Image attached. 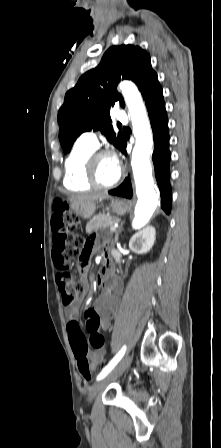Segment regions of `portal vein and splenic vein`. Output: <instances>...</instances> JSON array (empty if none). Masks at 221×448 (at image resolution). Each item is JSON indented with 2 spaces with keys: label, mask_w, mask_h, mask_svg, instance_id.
Segmentation results:
<instances>
[{
  "label": "portal vein and splenic vein",
  "mask_w": 221,
  "mask_h": 448,
  "mask_svg": "<svg viewBox=\"0 0 221 448\" xmlns=\"http://www.w3.org/2000/svg\"><path fill=\"white\" fill-rule=\"evenodd\" d=\"M118 228V224L115 223L113 226L110 227L111 231H115Z\"/></svg>",
  "instance_id": "obj_1"
}]
</instances>
